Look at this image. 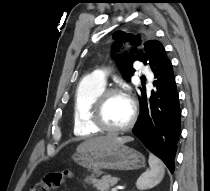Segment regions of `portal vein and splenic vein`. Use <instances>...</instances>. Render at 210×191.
<instances>
[{
  "instance_id": "1",
  "label": "portal vein and splenic vein",
  "mask_w": 210,
  "mask_h": 191,
  "mask_svg": "<svg viewBox=\"0 0 210 191\" xmlns=\"http://www.w3.org/2000/svg\"><path fill=\"white\" fill-rule=\"evenodd\" d=\"M118 189L116 187L112 188L111 191H117Z\"/></svg>"
}]
</instances>
